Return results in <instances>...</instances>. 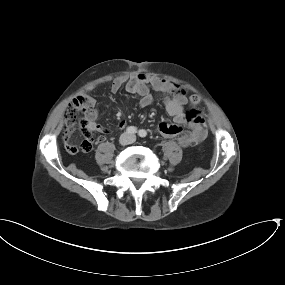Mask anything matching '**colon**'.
Segmentation results:
<instances>
[{
	"instance_id": "colon-1",
	"label": "colon",
	"mask_w": 285,
	"mask_h": 285,
	"mask_svg": "<svg viewBox=\"0 0 285 285\" xmlns=\"http://www.w3.org/2000/svg\"><path fill=\"white\" fill-rule=\"evenodd\" d=\"M165 92L170 95H180L184 94L186 91L176 84H171L168 86ZM190 105L194 111H197L198 99L196 97H191ZM90 108L91 100L89 96L80 95L71 101L66 113L67 118L78 121L80 128L86 133H88L90 130L89 123L87 119H85L84 115Z\"/></svg>"
}]
</instances>
